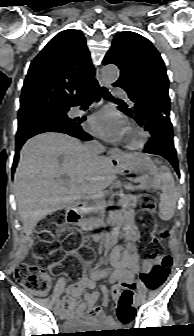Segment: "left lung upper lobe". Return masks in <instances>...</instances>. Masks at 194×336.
Masks as SVG:
<instances>
[{
	"label": "left lung upper lobe",
	"instance_id": "obj_1",
	"mask_svg": "<svg viewBox=\"0 0 194 336\" xmlns=\"http://www.w3.org/2000/svg\"><path fill=\"white\" fill-rule=\"evenodd\" d=\"M116 64L120 78L113 85L123 88L131 106L119 109L140 126L162 116H169V79L160 53L143 36L130 31L119 32L103 64Z\"/></svg>",
	"mask_w": 194,
	"mask_h": 336
}]
</instances>
